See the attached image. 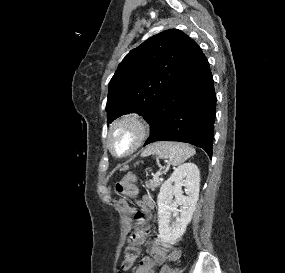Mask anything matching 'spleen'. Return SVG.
Segmentation results:
<instances>
[{
  "label": "spleen",
  "instance_id": "3e777b00",
  "mask_svg": "<svg viewBox=\"0 0 285 273\" xmlns=\"http://www.w3.org/2000/svg\"><path fill=\"white\" fill-rule=\"evenodd\" d=\"M196 153L195 149L180 142H157L148 146L142 156L156 154L161 159H169L171 164L178 166Z\"/></svg>",
  "mask_w": 285,
  "mask_h": 273
}]
</instances>
